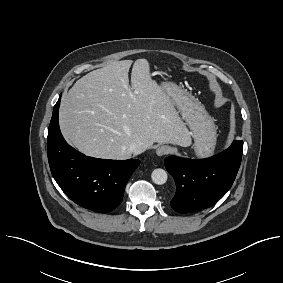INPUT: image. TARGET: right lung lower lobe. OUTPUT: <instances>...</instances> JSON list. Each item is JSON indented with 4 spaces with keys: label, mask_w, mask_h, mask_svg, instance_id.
Segmentation results:
<instances>
[{
    "label": "right lung lower lobe",
    "mask_w": 283,
    "mask_h": 283,
    "mask_svg": "<svg viewBox=\"0 0 283 283\" xmlns=\"http://www.w3.org/2000/svg\"><path fill=\"white\" fill-rule=\"evenodd\" d=\"M61 95L48 129L47 154L51 173L76 204L101 213L115 209L139 160H107L85 156L64 140L58 122Z\"/></svg>",
    "instance_id": "98d812e1"
}]
</instances>
